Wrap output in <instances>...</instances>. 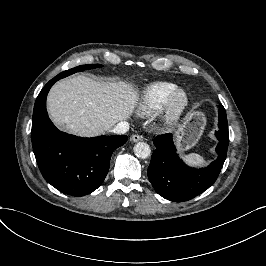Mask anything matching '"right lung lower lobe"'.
Masks as SVG:
<instances>
[{
	"label": "right lung lower lobe",
	"mask_w": 266,
	"mask_h": 266,
	"mask_svg": "<svg viewBox=\"0 0 266 266\" xmlns=\"http://www.w3.org/2000/svg\"><path fill=\"white\" fill-rule=\"evenodd\" d=\"M59 78L50 80L39 93L33 111L32 146L38 167L53 187L64 194L84 196L105 179L113 151L127 136L81 138L58 130L48 117L46 97Z\"/></svg>",
	"instance_id": "right-lung-lower-lobe-1"
}]
</instances>
